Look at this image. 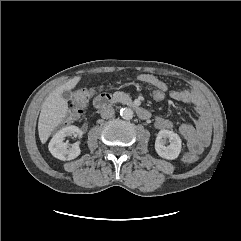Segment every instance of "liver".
Listing matches in <instances>:
<instances>
[{
    "mask_svg": "<svg viewBox=\"0 0 241 241\" xmlns=\"http://www.w3.org/2000/svg\"><path fill=\"white\" fill-rule=\"evenodd\" d=\"M81 80L75 76L53 90L42 104L38 133L41 143L45 144L51 132L63 121L68 111L67 101L62 97V92L73 89Z\"/></svg>",
    "mask_w": 241,
    "mask_h": 241,
    "instance_id": "liver-1",
    "label": "liver"
}]
</instances>
